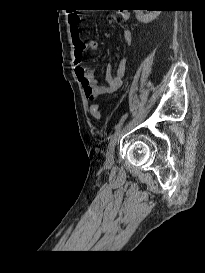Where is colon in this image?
Listing matches in <instances>:
<instances>
[{
    "label": "colon",
    "mask_w": 205,
    "mask_h": 273,
    "mask_svg": "<svg viewBox=\"0 0 205 273\" xmlns=\"http://www.w3.org/2000/svg\"><path fill=\"white\" fill-rule=\"evenodd\" d=\"M91 114L95 119H100L101 117V109L99 105L93 104L90 108Z\"/></svg>",
    "instance_id": "1"
}]
</instances>
